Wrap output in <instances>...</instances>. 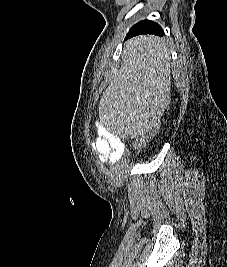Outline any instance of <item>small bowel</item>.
<instances>
[{"label": "small bowel", "mask_w": 227, "mask_h": 267, "mask_svg": "<svg viewBox=\"0 0 227 267\" xmlns=\"http://www.w3.org/2000/svg\"><path fill=\"white\" fill-rule=\"evenodd\" d=\"M126 142V138L117 137L105 130L101 131L92 147L98 152L101 162L115 163L122 157Z\"/></svg>", "instance_id": "obj_1"}]
</instances>
